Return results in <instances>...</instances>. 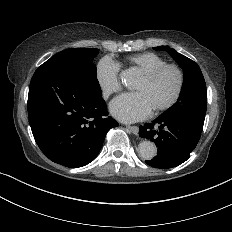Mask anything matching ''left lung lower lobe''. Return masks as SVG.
Instances as JSON below:
<instances>
[{
  "instance_id": "left-lung-lower-lobe-1",
  "label": "left lung lower lobe",
  "mask_w": 232,
  "mask_h": 232,
  "mask_svg": "<svg viewBox=\"0 0 232 232\" xmlns=\"http://www.w3.org/2000/svg\"><path fill=\"white\" fill-rule=\"evenodd\" d=\"M139 130L140 137L153 141L158 148L157 156L146 164L161 169L176 167L189 159L202 132L184 119L164 116Z\"/></svg>"
}]
</instances>
